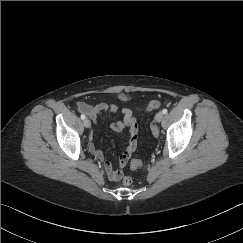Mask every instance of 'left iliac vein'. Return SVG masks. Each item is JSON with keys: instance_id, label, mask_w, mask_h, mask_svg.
<instances>
[{"instance_id": "4c4485c4", "label": "left iliac vein", "mask_w": 243, "mask_h": 243, "mask_svg": "<svg viewBox=\"0 0 243 243\" xmlns=\"http://www.w3.org/2000/svg\"><path fill=\"white\" fill-rule=\"evenodd\" d=\"M164 118V115L162 112H158L156 115H155V120L157 122H161ZM154 134H156V131H154Z\"/></svg>"}]
</instances>
